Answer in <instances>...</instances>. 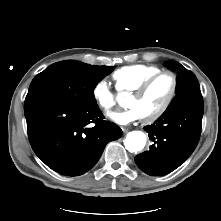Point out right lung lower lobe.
Here are the masks:
<instances>
[{"label":"right lung lower lobe","mask_w":221,"mask_h":221,"mask_svg":"<svg viewBox=\"0 0 221 221\" xmlns=\"http://www.w3.org/2000/svg\"><path fill=\"white\" fill-rule=\"evenodd\" d=\"M24 113L35 154L63 175L84 174L97 163L106 144L122 136L118 126L103 120L98 106L81 108L35 99L25 101ZM90 123L95 125L90 127Z\"/></svg>","instance_id":"1"}]
</instances>
